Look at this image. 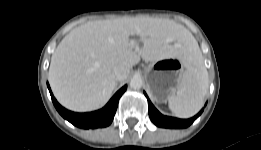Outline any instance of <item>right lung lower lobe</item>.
Wrapping results in <instances>:
<instances>
[{
    "label": "right lung lower lobe",
    "mask_w": 261,
    "mask_h": 150,
    "mask_svg": "<svg viewBox=\"0 0 261 150\" xmlns=\"http://www.w3.org/2000/svg\"><path fill=\"white\" fill-rule=\"evenodd\" d=\"M47 86L50 91L53 104L56 107L57 111L70 123L83 129H89V128L93 129L99 127H106L110 125L114 118L118 106L119 98L127 88L126 85L122 87L111 98V100L107 103V105L101 110L91 112V113H74L63 108L54 98L48 83Z\"/></svg>",
    "instance_id": "1"
}]
</instances>
